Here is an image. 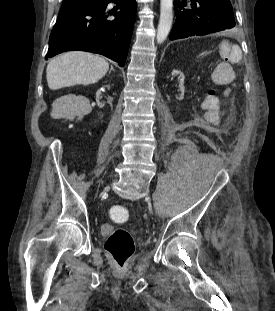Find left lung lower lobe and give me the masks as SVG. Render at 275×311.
Returning a JSON list of instances; mask_svg holds the SVG:
<instances>
[{"instance_id":"left-lung-lower-lobe-1","label":"left lung lower lobe","mask_w":275,"mask_h":311,"mask_svg":"<svg viewBox=\"0 0 275 311\" xmlns=\"http://www.w3.org/2000/svg\"><path fill=\"white\" fill-rule=\"evenodd\" d=\"M176 21L169 39L207 35L235 26L229 0H175Z\"/></svg>"}]
</instances>
